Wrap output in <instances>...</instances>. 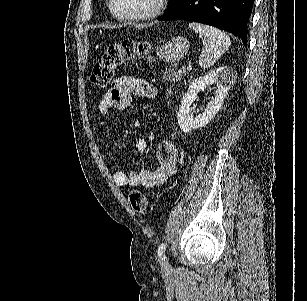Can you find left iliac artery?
Wrapping results in <instances>:
<instances>
[{"mask_svg":"<svg viewBox=\"0 0 307 301\" xmlns=\"http://www.w3.org/2000/svg\"><path fill=\"white\" fill-rule=\"evenodd\" d=\"M165 249H166V243H161L160 244V246H159V248H158V256H159V258H161L162 257V255L164 254V252H165ZM163 260V259H162Z\"/></svg>","mask_w":307,"mask_h":301,"instance_id":"left-iliac-artery-1","label":"left iliac artery"}]
</instances>
